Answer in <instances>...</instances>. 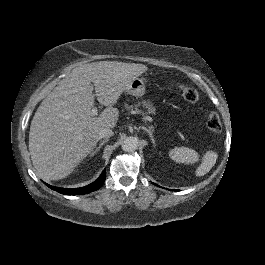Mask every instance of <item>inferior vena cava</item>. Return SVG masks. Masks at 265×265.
Masks as SVG:
<instances>
[{
	"label": "inferior vena cava",
	"instance_id": "1",
	"mask_svg": "<svg viewBox=\"0 0 265 265\" xmlns=\"http://www.w3.org/2000/svg\"><path fill=\"white\" fill-rule=\"evenodd\" d=\"M98 135L99 138H107L113 135V131L109 127H104L100 129Z\"/></svg>",
	"mask_w": 265,
	"mask_h": 265
}]
</instances>
